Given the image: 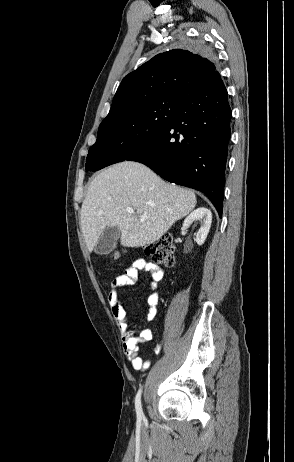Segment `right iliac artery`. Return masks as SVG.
I'll list each match as a JSON object with an SVG mask.
<instances>
[{
    "mask_svg": "<svg viewBox=\"0 0 294 462\" xmlns=\"http://www.w3.org/2000/svg\"><path fill=\"white\" fill-rule=\"evenodd\" d=\"M141 393H142V388L139 389L136 397H135V409H136V414L139 419H142L144 417L143 411H142V406H141Z\"/></svg>",
    "mask_w": 294,
    "mask_h": 462,
    "instance_id": "1",
    "label": "right iliac artery"
}]
</instances>
